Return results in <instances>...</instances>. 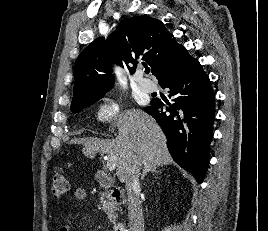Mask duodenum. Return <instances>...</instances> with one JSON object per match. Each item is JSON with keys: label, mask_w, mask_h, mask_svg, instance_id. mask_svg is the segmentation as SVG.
Wrapping results in <instances>:
<instances>
[{"label": "duodenum", "mask_w": 268, "mask_h": 231, "mask_svg": "<svg viewBox=\"0 0 268 231\" xmlns=\"http://www.w3.org/2000/svg\"><path fill=\"white\" fill-rule=\"evenodd\" d=\"M96 181L103 187L111 189V196L115 202H124L126 199L125 192L118 186L115 185V181L104 171H98L95 174ZM113 231H126V225L117 221Z\"/></svg>", "instance_id": "1"}]
</instances>
